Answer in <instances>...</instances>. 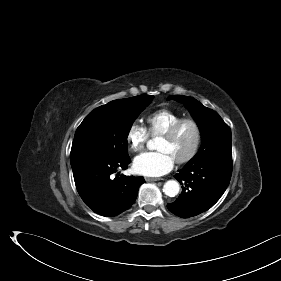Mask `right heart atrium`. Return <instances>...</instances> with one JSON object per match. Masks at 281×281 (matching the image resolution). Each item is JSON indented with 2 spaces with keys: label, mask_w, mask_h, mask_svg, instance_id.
Here are the masks:
<instances>
[{
  "label": "right heart atrium",
  "mask_w": 281,
  "mask_h": 281,
  "mask_svg": "<svg viewBox=\"0 0 281 281\" xmlns=\"http://www.w3.org/2000/svg\"><path fill=\"white\" fill-rule=\"evenodd\" d=\"M149 139V132L145 126L138 122L132 123L126 133V142L132 152L144 149Z\"/></svg>",
  "instance_id": "right-heart-atrium-1"
}]
</instances>
